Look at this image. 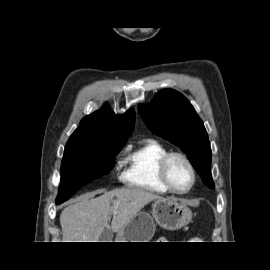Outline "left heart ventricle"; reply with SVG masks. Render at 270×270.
I'll use <instances>...</instances> for the list:
<instances>
[{
    "label": "left heart ventricle",
    "mask_w": 270,
    "mask_h": 270,
    "mask_svg": "<svg viewBox=\"0 0 270 270\" xmlns=\"http://www.w3.org/2000/svg\"><path fill=\"white\" fill-rule=\"evenodd\" d=\"M169 175L173 185L179 190H185L191 183V173L187 165L178 158L171 161Z\"/></svg>",
    "instance_id": "obj_1"
}]
</instances>
